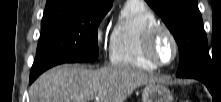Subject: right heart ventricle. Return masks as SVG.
<instances>
[{"instance_id":"obj_1","label":"right heart ventricle","mask_w":221,"mask_h":102,"mask_svg":"<svg viewBox=\"0 0 221 102\" xmlns=\"http://www.w3.org/2000/svg\"><path fill=\"white\" fill-rule=\"evenodd\" d=\"M158 23L154 12L142 1L129 0L120 11L113 28L109 58L116 66L137 68L146 71L157 69L149 63L142 52V37L145 30Z\"/></svg>"}]
</instances>
